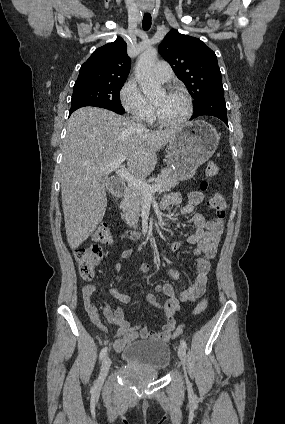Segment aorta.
<instances>
[{
	"label": "aorta",
	"instance_id": "1",
	"mask_svg": "<svg viewBox=\"0 0 285 424\" xmlns=\"http://www.w3.org/2000/svg\"><path fill=\"white\" fill-rule=\"evenodd\" d=\"M157 50L149 48L143 52L135 67V76L145 96L151 97L161 92V86L156 83L153 66L157 61Z\"/></svg>",
	"mask_w": 285,
	"mask_h": 424
}]
</instances>
